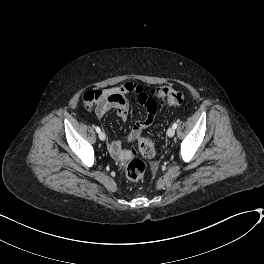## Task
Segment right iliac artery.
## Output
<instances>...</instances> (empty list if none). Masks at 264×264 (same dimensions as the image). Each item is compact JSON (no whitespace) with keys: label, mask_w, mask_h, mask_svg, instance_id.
Listing matches in <instances>:
<instances>
[{"label":"right iliac artery","mask_w":264,"mask_h":264,"mask_svg":"<svg viewBox=\"0 0 264 264\" xmlns=\"http://www.w3.org/2000/svg\"><path fill=\"white\" fill-rule=\"evenodd\" d=\"M95 130L97 133H99L101 131V129L98 126L95 127Z\"/></svg>","instance_id":"obj_1"}]
</instances>
